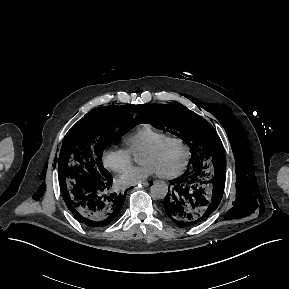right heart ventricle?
Here are the masks:
<instances>
[{
    "label": "right heart ventricle",
    "instance_id": "obj_1",
    "mask_svg": "<svg viewBox=\"0 0 289 289\" xmlns=\"http://www.w3.org/2000/svg\"><path fill=\"white\" fill-rule=\"evenodd\" d=\"M168 136V133L158 130L151 125H143L140 128L127 133L123 142L132 154H139L143 149Z\"/></svg>",
    "mask_w": 289,
    "mask_h": 289
}]
</instances>
